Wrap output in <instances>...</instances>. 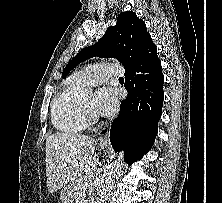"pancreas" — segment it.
I'll use <instances>...</instances> for the list:
<instances>
[{
    "label": "pancreas",
    "instance_id": "obj_1",
    "mask_svg": "<svg viewBox=\"0 0 222 203\" xmlns=\"http://www.w3.org/2000/svg\"><path fill=\"white\" fill-rule=\"evenodd\" d=\"M91 179V176H85L80 179L76 185L75 194H82L86 190V183Z\"/></svg>",
    "mask_w": 222,
    "mask_h": 203
}]
</instances>
